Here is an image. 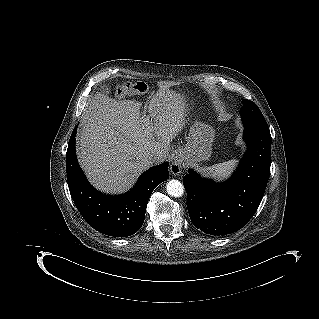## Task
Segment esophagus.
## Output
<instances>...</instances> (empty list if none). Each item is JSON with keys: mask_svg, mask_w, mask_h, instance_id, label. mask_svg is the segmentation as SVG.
I'll return each mask as SVG.
<instances>
[{"mask_svg": "<svg viewBox=\"0 0 319 319\" xmlns=\"http://www.w3.org/2000/svg\"><path fill=\"white\" fill-rule=\"evenodd\" d=\"M184 168L183 158L180 154H176L170 165V171L173 175L178 176Z\"/></svg>", "mask_w": 319, "mask_h": 319, "instance_id": "34e87169", "label": "esophagus"}]
</instances>
